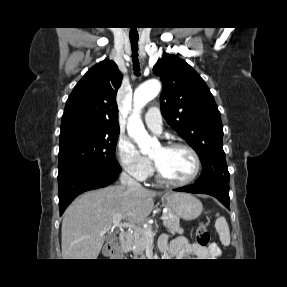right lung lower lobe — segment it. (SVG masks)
Masks as SVG:
<instances>
[{
  "label": "right lung lower lobe",
  "mask_w": 287,
  "mask_h": 287,
  "mask_svg": "<svg viewBox=\"0 0 287 287\" xmlns=\"http://www.w3.org/2000/svg\"><path fill=\"white\" fill-rule=\"evenodd\" d=\"M119 172H110L93 167H76L58 174L60 214L79 194L108 186L113 183Z\"/></svg>",
  "instance_id": "98d812e1"
}]
</instances>
